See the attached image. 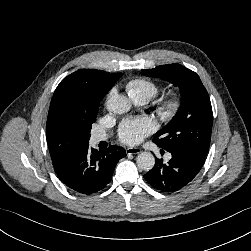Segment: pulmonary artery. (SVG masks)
I'll list each match as a JSON object with an SVG mask.
<instances>
[{
  "mask_svg": "<svg viewBox=\"0 0 251 251\" xmlns=\"http://www.w3.org/2000/svg\"><path fill=\"white\" fill-rule=\"evenodd\" d=\"M133 102L137 105H143L148 102L145 98H132ZM107 139V136L105 134L97 133L92 136V141L94 143H99L101 141H104Z\"/></svg>",
  "mask_w": 251,
  "mask_h": 251,
  "instance_id": "pulmonary-artery-1",
  "label": "pulmonary artery"
}]
</instances>
